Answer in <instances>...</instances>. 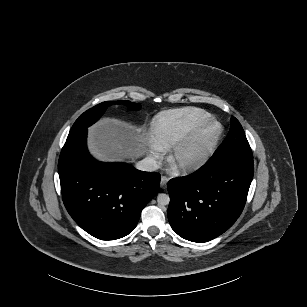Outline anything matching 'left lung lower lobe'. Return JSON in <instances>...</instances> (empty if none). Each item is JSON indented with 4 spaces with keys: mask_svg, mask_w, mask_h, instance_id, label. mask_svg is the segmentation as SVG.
Instances as JSON below:
<instances>
[{
    "mask_svg": "<svg viewBox=\"0 0 307 307\" xmlns=\"http://www.w3.org/2000/svg\"><path fill=\"white\" fill-rule=\"evenodd\" d=\"M252 158L209 160L196 172L168 183L172 229L192 242H207L228 230L240 216L253 178Z\"/></svg>",
    "mask_w": 307,
    "mask_h": 307,
    "instance_id": "1",
    "label": "left lung lower lobe"
}]
</instances>
